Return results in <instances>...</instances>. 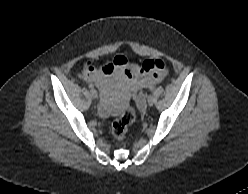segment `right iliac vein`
Returning a JSON list of instances; mask_svg holds the SVG:
<instances>
[{"mask_svg": "<svg viewBox=\"0 0 248 194\" xmlns=\"http://www.w3.org/2000/svg\"><path fill=\"white\" fill-rule=\"evenodd\" d=\"M91 97L93 99H97L98 98V93L95 89L91 90Z\"/></svg>", "mask_w": 248, "mask_h": 194, "instance_id": "obj_1", "label": "right iliac vein"}]
</instances>
